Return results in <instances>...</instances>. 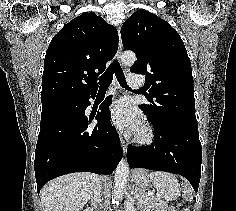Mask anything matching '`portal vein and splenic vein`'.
<instances>
[{"label":"portal vein and splenic vein","mask_w":236,"mask_h":211,"mask_svg":"<svg viewBox=\"0 0 236 211\" xmlns=\"http://www.w3.org/2000/svg\"><path fill=\"white\" fill-rule=\"evenodd\" d=\"M135 196L138 198V197H139V194H137V193H136V195H135Z\"/></svg>","instance_id":"portal-vein-and-splenic-vein-1"}]
</instances>
